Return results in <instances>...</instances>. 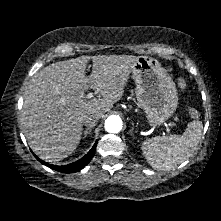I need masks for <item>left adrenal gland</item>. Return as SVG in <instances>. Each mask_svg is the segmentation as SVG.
<instances>
[{
  "label": "left adrenal gland",
  "mask_w": 221,
  "mask_h": 221,
  "mask_svg": "<svg viewBox=\"0 0 221 221\" xmlns=\"http://www.w3.org/2000/svg\"><path fill=\"white\" fill-rule=\"evenodd\" d=\"M133 130H134V128L131 127V130H130V134H131V135H133Z\"/></svg>",
  "instance_id": "left-adrenal-gland-1"
}]
</instances>
